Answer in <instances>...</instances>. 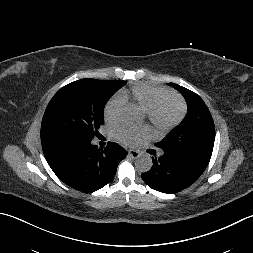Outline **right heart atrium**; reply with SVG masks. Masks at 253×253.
Returning <instances> with one entry per match:
<instances>
[{
	"label": "right heart atrium",
	"instance_id": "1",
	"mask_svg": "<svg viewBox=\"0 0 253 253\" xmlns=\"http://www.w3.org/2000/svg\"><path fill=\"white\" fill-rule=\"evenodd\" d=\"M125 102L126 100L120 93L108 100L104 108L105 120L108 123L116 124L120 121Z\"/></svg>",
	"mask_w": 253,
	"mask_h": 253
}]
</instances>
